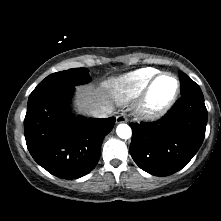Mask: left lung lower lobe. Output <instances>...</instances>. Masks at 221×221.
Wrapping results in <instances>:
<instances>
[{
    "instance_id": "1",
    "label": "left lung lower lobe",
    "mask_w": 221,
    "mask_h": 221,
    "mask_svg": "<svg viewBox=\"0 0 221 221\" xmlns=\"http://www.w3.org/2000/svg\"><path fill=\"white\" fill-rule=\"evenodd\" d=\"M207 124L203 95L182 96L154 123L132 124L130 154L154 176H168L185 167L199 150Z\"/></svg>"
}]
</instances>
